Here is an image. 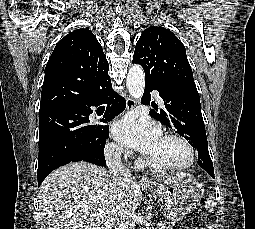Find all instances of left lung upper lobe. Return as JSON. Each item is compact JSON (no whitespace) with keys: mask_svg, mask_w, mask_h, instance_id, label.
I'll use <instances>...</instances> for the list:
<instances>
[{"mask_svg":"<svg viewBox=\"0 0 255 229\" xmlns=\"http://www.w3.org/2000/svg\"><path fill=\"white\" fill-rule=\"evenodd\" d=\"M133 63L140 64L145 72V81L170 85L187 92L198 94L193 80L191 66L183 43L168 29L152 26L143 31L136 43ZM167 116L164 110L158 111ZM182 134L197 149L207 144V137L198 138L188 133Z\"/></svg>","mask_w":255,"mask_h":229,"instance_id":"1","label":"left lung upper lobe"}]
</instances>
